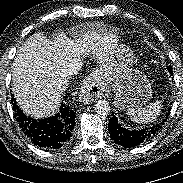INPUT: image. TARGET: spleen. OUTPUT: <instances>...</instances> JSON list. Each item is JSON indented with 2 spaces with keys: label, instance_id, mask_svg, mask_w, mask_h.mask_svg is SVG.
I'll list each match as a JSON object with an SVG mask.
<instances>
[{
  "label": "spleen",
  "instance_id": "1",
  "mask_svg": "<svg viewBox=\"0 0 183 183\" xmlns=\"http://www.w3.org/2000/svg\"><path fill=\"white\" fill-rule=\"evenodd\" d=\"M161 108V101H156L143 108L129 109L127 114L131 117V120L136 123H149L157 119L158 115L161 113Z\"/></svg>",
  "mask_w": 183,
  "mask_h": 183
}]
</instances>
